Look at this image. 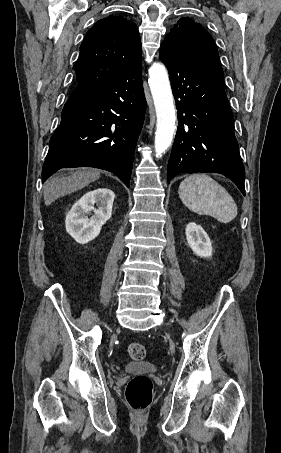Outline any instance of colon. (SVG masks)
Returning a JSON list of instances; mask_svg holds the SVG:
<instances>
[{"label": "colon", "mask_w": 281, "mask_h": 453, "mask_svg": "<svg viewBox=\"0 0 281 453\" xmlns=\"http://www.w3.org/2000/svg\"><path fill=\"white\" fill-rule=\"evenodd\" d=\"M146 348L142 344H134L129 348V356L133 362H143ZM125 399L128 408L135 413L146 412L152 400V382L146 375L132 376L125 388Z\"/></svg>", "instance_id": "1"}]
</instances>
